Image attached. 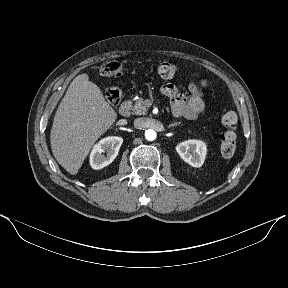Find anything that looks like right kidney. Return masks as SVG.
<instances>
[{
    "label": "right kidney",
    "mask_w": 288,
    "mask_h": 288,
    "mask_svg": "<svg viewBox=\"0 0 288 288\" xmlns=\"http://www.w3.org/2000/svg\"><path fill=\"white\" fill-rule=\"evenodd\" d=\"M123 139L117 136L106 137L100 140L92 149L90 154V165L93 169L99 170L116 158ZM106 152V154H104Z\"/></svg>",
    "instance_id": "ca27d5eb"
}]
</instances>
